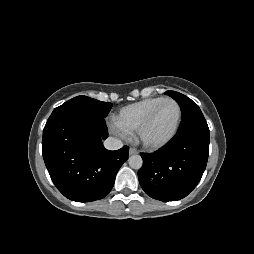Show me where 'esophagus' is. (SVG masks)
Returning <instances> with one entry per match:
<instances>
[{
  "label": "esophagus",
  "instance_id": "obj_1",
  "mask_svg": "<svg viewBox=\"0 0 254 254\" xmlns=\"http://www.w3.org/2000/svg\"><path fill=\"white\" fill-rule=\"evenodd\" d=\"M134 154H138V150L135 148H130L129 149V155H134Z\"/></svg>",
  "mask_w": 254,
  "mask_h": 254
}]
</instances>
